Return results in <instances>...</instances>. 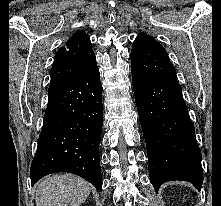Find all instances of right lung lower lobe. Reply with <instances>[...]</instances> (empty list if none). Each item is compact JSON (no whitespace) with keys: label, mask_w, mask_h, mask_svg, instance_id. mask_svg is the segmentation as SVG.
<instances>
[{"label":"right lung lower lobe","mask_w":221,"mask_h":206,"mask_svg":"<svg viewBox=\"0 0 221 206\" xmlns=\"http://www.w3.org/2000/svg\"><path fill=\"white\" fill-rule=\"evenodd\" d=\"M48 105L36 155L30 169L31 185L41 177L69 172L102 188V85L97 64L76 77L49 88Z\"/></svg>","instance_id":"98d812e1"}]
</instances>
